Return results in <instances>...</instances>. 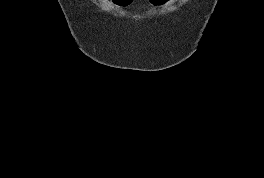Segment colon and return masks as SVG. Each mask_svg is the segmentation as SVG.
Returning a JSON list of instances; mask_svg holds the SVG:
<instances>
[{
    "instance_id": "colon-1",
    "label": "colon",
    "mask_w": 264,
    "mask_h": 178,
    "mask_svg": "<svg viewBox=\"0 0 264 178\" xmlns=\"http://www.w3.org/2000/svg\"><path fill=\"white\" fill-rule=\"evenodd\" d=\"M132 0H112V2L114 3V5H116L117 7L120 8H125L128 6V4H130ZM149 2L155 6V7H162L164 6L166 3L169 2V0H149Z\"/></svg>"
}]
</instances>
